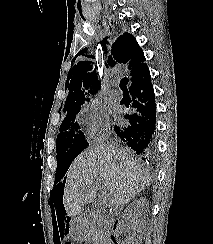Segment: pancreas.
<instances>
[{
  "label": "pancreas",
  "instance_id": "obj_1",
  "mask_svg": "<svg viewBox=\"0 0 213 244\" xmlns=\"http://www.w3.org/2000/svg\"><path fill=\"white\" fill-rule=\"evenodd\" d=\"M99 232V233H98ZM89 234L90 235H100V231L96 229L95 225H90V229H89Z\"/></svg>",
  "mask_w": 213,
  "mask_h": 244
}]
</instances>
